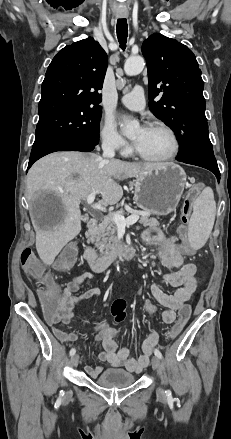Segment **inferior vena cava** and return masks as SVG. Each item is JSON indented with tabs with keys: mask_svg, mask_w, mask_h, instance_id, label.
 <instances>
[{
	"mask_svg": "<svg viewBox=\"0 0 231 439\" xmlns=\"http://www.w3.org/2000/svg\"><path fill=\"white\" fill-rule=\"evenodd\" d=\"M103 157L106 159H112L115 156V149L111 143L102 144Z\"/></svg>",
	"mask_w": 231,
	"mask_h": 439,
	"instance_id": "obj_1",
	"label": "inferior vena cava"
}]
</instances>
